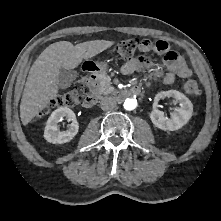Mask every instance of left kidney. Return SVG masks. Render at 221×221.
<instances>
[{"label":"left kidney","mask_w":221,"mask_h":221,"mask_svg":"<svg viewBox=\"0 0 221 221\" xmlns=\"http://www.w3.org/2000/svg\"><path fill=\"white\" fill-rule=\"evenodd\" d=\"M162 93H158L155 97L156 101L161 98ZM167 95L175 98L179 101L180 107L175 108L171 113V118L164 116L162 111H159L154 107L150 113V119L152 123L161 130L175 131L182 128L192 117L193 105L191 101L181 92L176 90H170Z\"/></svg>","instance_id":"5707ae66"}]
</instances>
